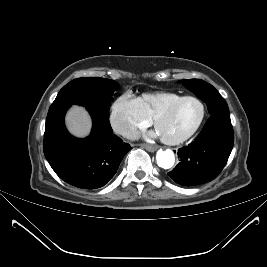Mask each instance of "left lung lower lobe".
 Segmentation results:
<instances>
[{
	"label": "left lung lower lobe",
	"mask_w": 267,
	"mask_h": 267,
	"mask_svg": "<svg viewBox=\"0 0 267 267\" xmlns=\"http://www.w3.org/2000/svg\"><path fill=\"white\" fill-rule=\"evenodd\" d=\"M233 143L229 113L213 114L194 142L178 150L180 163L168 175L183 186L209 182L226 165Z\"/></svg>",
	"instance_id": "1"
}]
</instances>
